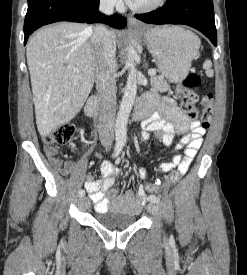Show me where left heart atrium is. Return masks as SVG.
<instances>
[{"mask_svg":"<svg viewBox=\"0 0 247 275\" xmlns=\"http://www.w3.org/2000/svg\"><path fill=\"white\" fill-rule=\"evenodd\" d=\"M128 4L133 5V3L135 2V0H125Z\"/></svg>","mask_w":247,"mask_h":275,"instance_id":"39dd6f15","label":"left heart atrium"}]
</instances>
